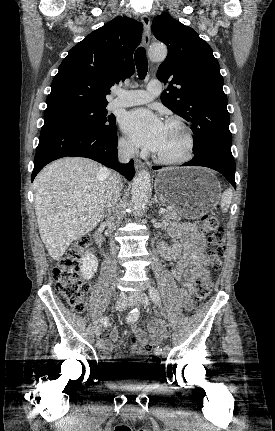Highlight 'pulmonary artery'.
Wrapping results in <instances>:
<instances>
[{
    "label": "pulmonary artery",
    "mask_w": 275,
    "mask_h": 431,
    "mask_svg": "<svg viewBox=\"0 0 275 431\" xmlns=\"http://www.w3.org/2000/svg\"><path fill=\"white\" fill-rule=\"evenodd\" d=\"M161 92V84L158 80H152L148 83L146 90H117L111 107H129L151 102Z\"/></svg>",
    "instance_id": "pulmonary-artery-1"
}]
</instances>
